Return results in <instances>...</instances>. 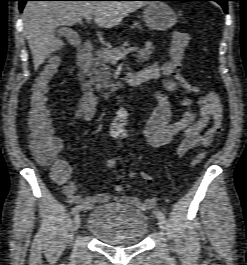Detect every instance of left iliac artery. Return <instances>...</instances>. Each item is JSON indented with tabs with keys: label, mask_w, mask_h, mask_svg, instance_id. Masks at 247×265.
Wrapping results in <instances>:
<instances>
[{
	"label": "left iliac artery",
	"mask_w": 247,
	"mask_h": 265,
	"mask_svg": "<svg viewBox=\"0 0 247 265\" xmlns=\"http://www.w3.org/2000/svg\"><path fill=\"white\" fill-rule=\"evenodd\" d=\"M155 213H156V215H157L158 217H160V218H163V219L166 218V217H165V213H164L163 211L159 210V209H156Z\"/></svg>",
	"instance_id": "obj_1"
}]
</instances>
